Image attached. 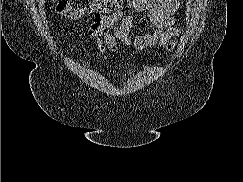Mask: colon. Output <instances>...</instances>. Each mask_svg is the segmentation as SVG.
Returning a JSON list of instances; mask_svg holds the SVG:
<instances>
[{
	"instance_id": "5ec220e1",
	"label": "colon",
	"mask_w": 243,
	"mask_h": 182,
	"mask_svg": "<svg viewBox=\"0 0 243 182\" xmlns=\"http://www.w3.org/2000/svg\"><path fill=\"white\" fill-rule=\"evenodd\" d=\"M57 13L70 18L80 19L88 14H109L118 12L124 0H91L84 7H75L72 0H53Z\"/></svg>"
}]
</instances>
